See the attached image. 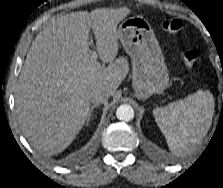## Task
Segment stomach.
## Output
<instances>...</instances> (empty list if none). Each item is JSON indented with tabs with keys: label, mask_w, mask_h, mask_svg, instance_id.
<instances>
[{
	"label": "stomach",
	"mask_w": 223,
	"mask_h": 188,
	"mask_svg": "<svg viewBox=\"0 0 223 188\" xmlns=\"http://www.w3.org/2000/svg\"><path fill=\"white\" fill-rule=\"evenodd\" d=\"M118 39L132 59V80L135 96L147 99L161 93L168 86L169 74L164 58L148 23L141 16L121 21L117 28Z\"/></svg>",
	"instance_id": "1"
}]
</instances>
